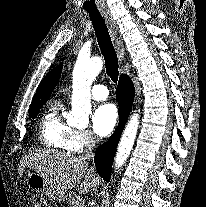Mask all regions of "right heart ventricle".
<instances>
[{"label":"right heart ventricle","instance_id":"right-heart-ventricle-1","mask_svg":"<svg viewBox=\"0 0 206 207\" xmlns=\"http://www.w3.org/2000/svg\"><path fill=\"white\" fill-rule=\"evenodd\" d=\"M62 104L55 103L43 115L40 121L39 137L48 148L73 151L71 148V134L73 129L62 117Z\"/></svg>","mask_w":206,"mask_h":207}]
</instances>
